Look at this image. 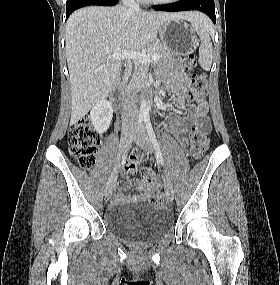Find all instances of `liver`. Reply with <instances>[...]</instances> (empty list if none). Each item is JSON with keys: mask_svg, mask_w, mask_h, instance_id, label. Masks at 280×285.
Masks as SVG:
<instances>
[{"mask_svg": "<svg viewBox=\"0 0 280 285\" xmlns=\"http://www.w3.org/2000/svg\"><path fill=\"white\" fill-rule=\"evenodd\" d=\"M196 12L161 13L130 10L125 6L85 7L66 23V58L71 85V124L82 119L94 104L105 99L121 70L111 59L115 49L140 51L153 42L170 19L193 23Z\"/></svg>", "mask_w": 280, "mask_h": 285, "instance_id": "1", "label": "liver"}]
</instances>
